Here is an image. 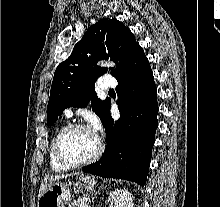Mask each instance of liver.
Masks as SVG:
<instances>
[{"mask_svg": "<svg viewBox=\"0 0 220 207\" xmlns=\"http://www.w3.org/2000/svg\"><path fill=\"white\" fill-rule=\"evenodd\" d=\"M70 176V174H60V175H51V176H47L44 180V182L41 184L40 189H39V193H38V198L40 196H42V194L50 187V185L57 181L60 180L62 178H66Z\"/></svg>", "mask_w": 220, "mask_h": 207, "instance_id": "obj_1", "label": "liver"}]
</instances>
